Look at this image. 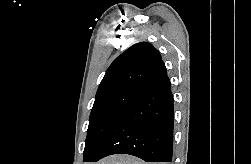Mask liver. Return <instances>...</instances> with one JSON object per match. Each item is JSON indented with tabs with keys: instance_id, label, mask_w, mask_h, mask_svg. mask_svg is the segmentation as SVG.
<instances>
[{
	"instance_id": "1",
	"label": "liver",
	"mask_w": 251,
	"mask_h": 164,
	"mask_svg": "<svg viewBox=\"0 0 251 164\" xmlns=\"http://www.w3.org/2000/svg\"><path fill=\"white\" fill-rule=\"evenodd\" d=\"M97 164H145L137 158L127 155H113L103 159Z\"/></svg>"
}]
</instances>
